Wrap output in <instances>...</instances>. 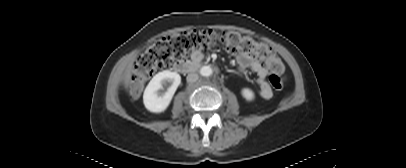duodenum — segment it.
Here are the masks:
<instances>
[{
  "mask_svg": "<svg viewBox=\"0 0 406 168\" xmlns=\"http://www.w3.org/2000/svg\"><path fill=\"white\" fill-rule=\"evenodd\" d=\"M204 65L200 60H179L173 64V70L179 73H189Z\"/></svg>",
  "mask_w": 406,
  "mask_h": 168,
  "instance_id": "duodenum-1",
  "label": "duodenum"
}]
</instances>
